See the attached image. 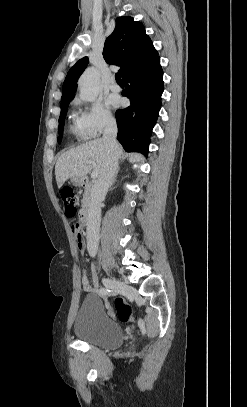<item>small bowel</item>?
Here are the masks:
<instances>
[{
    "label": "small bowel",
    "instance_id": "1",
    "mask_svg": "<svg viewBox=\"0 0 247 407\" xmlns=\"http://www.w3.org/2000/svg\"><path fill=\"white\" fill-rule=\"evenodd\" d=\"M76 238H77V246H78L79 250L84 251L86 248V244H85L81 229H78V232L76 233ZM82 285H83V288L85 291H90V292L95 291V287L89 283L86 270H83V272H82Z\"/></svg>",
    "mask_w": 247,
    "mask_h": 407
}]
</instances>
